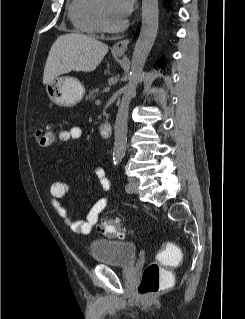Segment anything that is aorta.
Segmentation results:
<instances>
[{
  "mask_svg": "<svg viewBox=\"0 0 245 319\" xmlns=\"http://www.w3.org/2000/svg\"><path fill=\"white\" fill-rule=\"evenodd\" d=\"M158 13V0H142L141 31L133 51L129 81L124 87L123 97L116 115L113 148V160L115 161H121L125 156L129 106L136 94L140 75L157 35Z\"/></svg>",
  "mask_w": 245,
  "mask_h": 319,
  "instance_id": "1",
  "label": "aorta"
}]
</instances>
